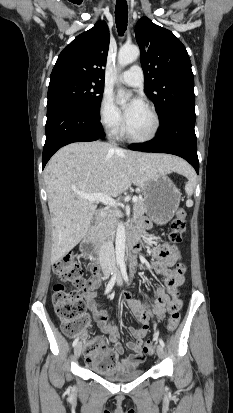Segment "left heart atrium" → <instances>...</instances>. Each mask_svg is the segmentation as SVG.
Returning <instances> with one entry per match:
<instances>
[{
	"label": "left heart atrium",
	"instance_id": "obj_1",
	"mask_svg": "<svg viewBox=\"0 0 233 413\" xmlns=\"http://www.w3.org/2000/svg\"><path fill=\"white\" fill-rule=\"evenodd\" d=\"M143 102L139 98H134L125 110V120L126 122L131 119V117L142 107Z\"/></svg>",
	"mask_w": 233,
	"mask_h": 413
}]
</instances>
